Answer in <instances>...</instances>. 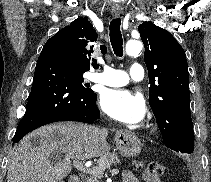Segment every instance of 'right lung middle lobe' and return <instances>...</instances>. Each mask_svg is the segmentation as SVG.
<instances>
[{"label":"right lung middle lobe","instance_id":"dd1d6c3e","mask_svg":"<svg viewBox=\"0 0 211 182\" xmlns=\"http://www.w3.org/2000/svg\"><path fill=\"white\" fill-rule=\"evenodd\" d=\"M75 71H76L77 80L82 84L83 89L87 92H93V90L88 88L90 84L83 83V80H84L83 74L86 72V70L80 69L79 67H75Z\"/></svg>","mask_w":211,"mask_h":182}]
</instances>
